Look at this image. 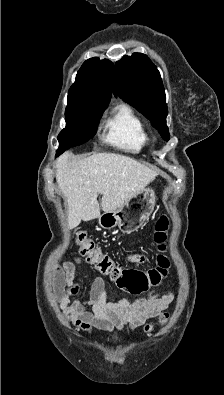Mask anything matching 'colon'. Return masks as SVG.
Wrapping results in <instances>:
<instances>
[{"instance_id":"colon-1","label":"colon","mask_w":224,"mask_h":395,"mask_svg":"<svg viewBox=\"0 0 224 395\" xmlns=\"http://www.w3.org/2000/svg\"><path fill=\"white\" fill-rule=\"evenodd\" d=\"M168 228V218L165 215L160 216L154 233V240L159 244L160 250L165 249ZM74 240L79 247L81 255L88 263L118 282L129 293L140 294L145 292L150 287L159 285L161 280L168 274L170 262L165 256H159L157 266L144 272L117 265L107 254L102 252L84 231L77 232ZM169 317V313H162L159 318V324H166ZM155 327V324H148L145 326V332L150 333Z\"/></svg>"}]
</instances>
